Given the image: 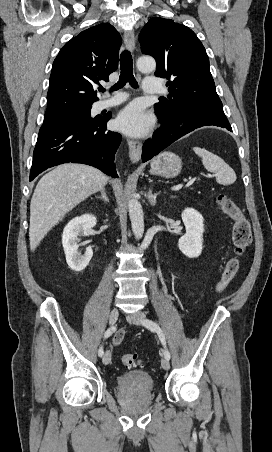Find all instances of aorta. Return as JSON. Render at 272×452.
Instances as JSON below:
<instances>
[{"instance_id": "762f6f07", "label": "aorta", "mask_w": 272, "mask_h": 452, "mask_svg": "<svg viewBox=\"0 0 272 452\" xmlns=\"http://www.w3.org/2000/svg\"><path fill=\"white\" fill-rule=\"evenodd\" d=\"M137 68L141 72H152L156 68V62L152 57H140L137 60ZM128 211L133 234L139 240L144 233V214L142 206L136 198L129 199Z\"/></svg>"}]
</instances>
